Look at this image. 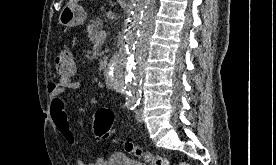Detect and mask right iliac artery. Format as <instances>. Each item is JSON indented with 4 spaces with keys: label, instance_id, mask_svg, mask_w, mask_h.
Returning a JSON list of instances; mask_svg holds the SVG:
<instances>
[{
    "label": "right iliac artery",
    "instance_id": "1",
    "mask_svg": "<svg viewBox=\"0 0 276 165\" xmlns=\"http://www.w3.org/2000/svg\"><path fill=\"white\" fill-rule=\"evenodd\" d=\"M138 104H139V100L131 99V100L126 101L125 105L128 109L133 110L137 107Z\"/></svg>",
    "mask_w": 276,
    "mask_h": 165
}]
</instances>
